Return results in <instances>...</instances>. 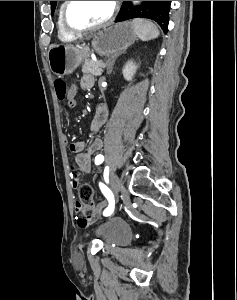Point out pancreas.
<instances>
[{"label": "pancreas", "instance_id": "pancreas-1", "mask_svg": "<svg viewBox=\"0 0 237 300\" xmlns=\"http://www.w3.org/2000/svg\"><path fill=\"white\" fill-rule=\"evenodd\" d=\"M102 63L103 61H98V63H96V61H92V59H85L82 65V73H86V75H95V77H100V75H102L103 73V69H105L100 68V65H102ZM104 65L105 67H108L107 63Z\"/></svg>", "mask_w": 237, "mask_h": 300}]
</instances>
